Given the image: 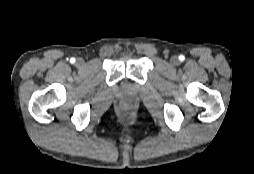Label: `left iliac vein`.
<instances>
[{"label": "left iliac vein", "mask_w": 254, "mask_h": 174, "mask_svg": "<svg viewBox=\"0 0 254 174\" xmlns=\"http://www.w3.org/2000/svg\"><path fill=\"white\" fill-rule=\"evenodd\" d=\"M171 63H172L173 65L179 64L178 58H177L176 56H173V57L171 58Z\"/></svg>", "instance_id": "obj_1"}]
</instances>
